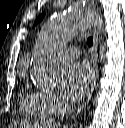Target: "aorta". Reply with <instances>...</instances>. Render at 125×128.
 <instances>
[{
	"instance_id": "aorta-1",
	"label": "aorta",
	"mask_w": 125,
	"mask_h": 128,
	"mask_svg": "<svg viewBox=\"0 0 125 128\" xmlns=\"http://www.w3.org/2000/svg\"><path fill=\"white\" fill-rule=\"evenodd\" d=\"M91 25L101 29L103 21L98 13L85 7L73 8L66 15L47 22L39 33L38 50L32 61L31 76L35 84L45 89L57 86L60 75L54 59L46 55L47 50L70 40Z\"/></svg>"
}]
</instances>
